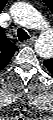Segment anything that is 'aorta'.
<instances>
[{
	"mask_svg": "<svg viewBox=\"0 0 53 120\" xmlns=\"http://www.w3.org/2000/svg\"><path fill=\"white\" fill-rule=\"evenodd\" d=\"M16 13L21 16L23 24L30 28H40L43 24L41 15L31 6L17 7ZM44 41L45 39L41 38L36 44V51L39 54H43V46H49Z\"/></svg>",
	"mask_w": 53,
	"mask_h": 120,
	"instance_id": "aorta-1",
	"label": "aorta"
}]
</instances>
